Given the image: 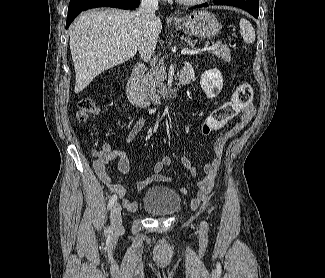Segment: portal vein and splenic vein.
I'll use <instances>...</instances> for the list:
<instances>
[{
  "mask_svg": "<svg viewBox=\"0 0 325 278\" xmlns=\"http://www.w3.org/2000/svg\"><path fill=\"white\" fill-rule=\"evenodd\" d=\"M219 46V43H213L211 46L209 47H204L202 49H188V48H184L182 49L181 51V54L182 55H195V54H198V53H201L203 51H210V50H215L216 48H218Z\"/></svg>",
  "mask_w": 325,
  "mask_h": 278,
  "instance_id": "obj_1",
  "label": "portal vein and splenic vein"
}]
</instances>
